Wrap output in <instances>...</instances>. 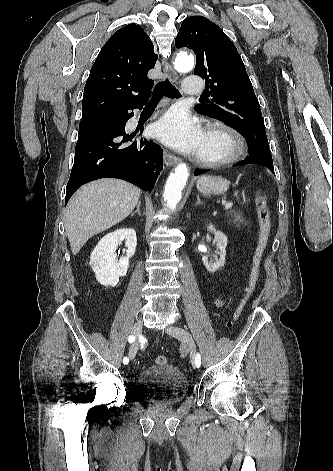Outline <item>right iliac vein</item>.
Wrapping results in <instances>:
<instances>
[{
	"instance_id": "63e3f726",
	"label": "right iliac vein",
	"mask_w": 333,
	"mask_h": 471,
	"mask_svg": "<svg viewBox=\"0 0 333 471\" xmlns=\"http://www.w3.org/2000/svg\"><path fill=\"white\" fill-rule=\"evenodd\" d=\"M142 328H143L142 322H136L132 327V332L136 336L137 339L134 341V343L130 347V350H129L130 359H134L137 354L138 347H139L138 337L142 333Z\"/></svg>"
}]
</instances>
